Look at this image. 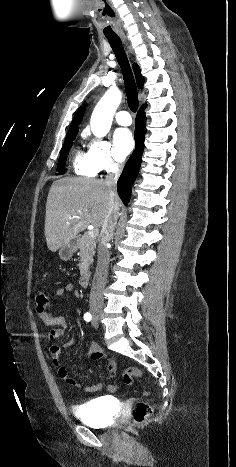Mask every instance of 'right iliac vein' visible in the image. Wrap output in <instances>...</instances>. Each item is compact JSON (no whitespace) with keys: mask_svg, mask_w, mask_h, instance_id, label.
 Listing matches in <instances>:
<instances>
[{"mask_svg":"<svg viewBox=\"0 0 236 467\" xmlns=\"http://www.w3.org/2000/svg\"><path fill=\"white\" fill-rule=\"evenodd\" d=\"M93 316H94V319L97 321L100 318V313L99 312H94Z\"/></svg>","mask_w":236,"mask_h":467,"instance_id":"63e3f726","label":"right iliac vein"}]
</instances>
